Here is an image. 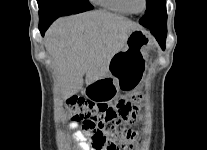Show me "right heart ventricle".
<instances>
[{"instance_id":"e07e8e85","label":"right heart ventricle","mask_w":207,"mask_h":150,"mask_svg":"<svg viewBox=\"0 0 207 150\" xmlns=\"http://www.w3.org/2000/svg\"><path fill=\"white\" fill-rule=\"evenodd\" d=\"M100 7L121 14L131 15L132 12L128 9L124 0H93Z\"/></svg>"}]
</instances>
